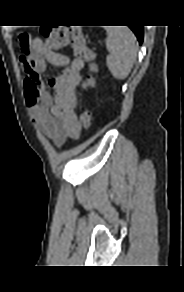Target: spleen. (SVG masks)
<instances>
[{"mask_svg":"<svg viewBox=\"0 0 184 292\" xmlns=\"http://www.w3.org/2000/svg\"><path fill=\"white\" fill-rule=\"evenodd\" d=\"M106 64L114 78L128 77L137 56L136 38L128 27L106 28Z\"/></svg>","mask_w":184,"mask_h":292,"instance_id":"1","label":"spleen"}]
</instances>
